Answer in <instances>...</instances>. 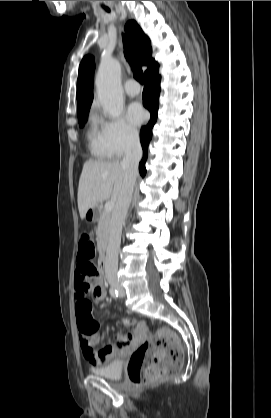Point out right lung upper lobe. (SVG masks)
Wrapping results in <instances>:
<instances>
[{
	"mask_svg": "<svg viewBox=\"0 0 271 418\" xmlns=\"http://www.w3.org/2000/svg\"><path fill=\"white\" fill-rule=\"evenodd\" d=\"M125 30L135 46L137 61L140 65L147 66L145 74L158 67V63L151 58L152 48L150 45V39L144 34L136 21H128L125 26ZM93 73V58L91 56H86L80 63L77 80L78 116L88 113L91 106L93 100Z\"/></svg>",
	"mask_w": 271,
	"mask_h": 418,
	"instance_id": "cb5924a9",
	"label": "right lung upper lobe"
}]
</instances>
